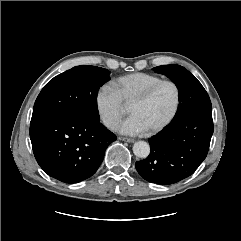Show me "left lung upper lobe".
<instances>
[{
    "instance_id": "1",
    "label": "left lung upper lobe",
    "mask_w": 241,
    "mask_h": 241,
    "mask_svg": "<svg viewBox=\"0 0 241 241\" xmlns=\"http://www.w3.org/2000/svg\"><path fill=\"white\" fill-rule=\"evenodd\" d=\"M156 73L168 76L179 90V106L169 125L195 113L212 110L210 98L201 83L184 67L176 64L153 68Z\"/></svg>"
}]
</instances>
